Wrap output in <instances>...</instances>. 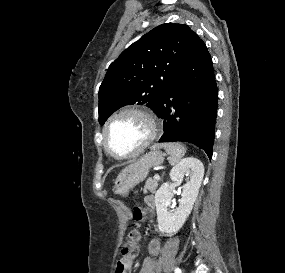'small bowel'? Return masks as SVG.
I'll return each mask as SVG.
<instances>
[{"label":"small bowel","instance_id":"obj_1","mask_svg":"<svg viewBox=\"0 0 285 273\" xmlns=\"http://www.w3.org/2000/svg\"><path fill=\"white\" fill-rule=\"evenodd\" d=\"M144 204L147 209L154 208L155 201L152 196L144 198ZM149 257L145 258L140 273H160V265L156 258L160 255L161 244L158 240H151L148 244Z\"/></svg>","mask_w":285,"mask_h":273}]
</instances>
